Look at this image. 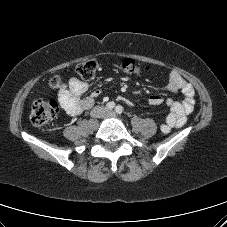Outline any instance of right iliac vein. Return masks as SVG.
<instances>
[{
    "label": "right iliac vein",
    "instance_id": "63e3f726",
    "mask_svg": "<svg viewBox=\"0 0 227 227\" xmlns=\"http://www.w3.org/2000/svg\"><path fill=\"white\" fill-rule=\"evenodd\" d=\"M101 114H102V110H101V109L96 110V111L92 114L93 119H92L91 122H90L92 126H95V124H96L95 118L99 117Z\"/></svg>",
    "mask_w": 227,
    "mask_h": 227
}]
</instances>
